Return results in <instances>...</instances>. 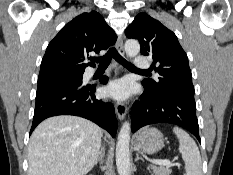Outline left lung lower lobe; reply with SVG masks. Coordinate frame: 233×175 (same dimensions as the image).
<instances>
[{"label": "left lung lower lobe", "mask_w": 233, "mask_h": 175, "mask_svg": "<svg viewBox=\"0 0 233 175\" xmlns=\"http://www.w3.org/2000/svg\"><path fill=\"white\" fill-rule=\"evenodd\" d=\"M132 132L155 123H171L191 132L200 141L194 92L168 90L160 94L144 90L133 104Z\"/></svg>", "instance_id": "0a47b994"}]
</instances>
